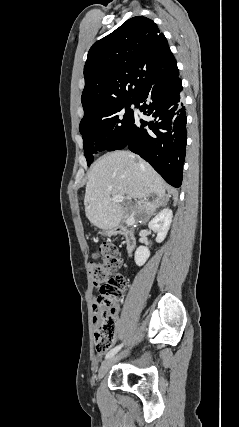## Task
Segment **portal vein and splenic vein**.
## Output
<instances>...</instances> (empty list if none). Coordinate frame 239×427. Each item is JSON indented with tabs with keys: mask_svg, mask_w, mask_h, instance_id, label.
I'll list each match as a JSON object with an SVG mask.
<instances>
[{
	"mask_svg": "<svg viewBox=\"0 0 239 427\" xmlns=\"http://www.w3.org/2000/svg\"><path fill=\"white\" fill-rule=\"evenodd\" d=\"M124 199V197H122V196H114V197H112V201H114V202H121L122 200ZM132 222L131 221H127V224H131Z\"/></svg>",
	"mask_w": 239,
	"mask_h": 427,
	"instance_id": "portal-vein-and-splenic-vein-1",
	"label": "portal vein and splenic vein"
}]
</instances>
